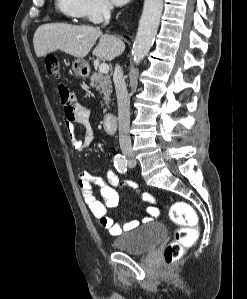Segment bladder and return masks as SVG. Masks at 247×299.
Wrapping results in <instances>:
<instances>
[{"instance_id": "bladder-1", "label": "bladder", "mask_w": 247, "mask_h": 299, "mask_svg": "<svg viewBox=\"0 0 247 299\" xmlns=\"http://www.w3.org/2000/svg\"><path fill=\"white\" fill-rule=\"evenodd\" d=\"M164 224L153 221L122 233L113 240L114 247L132 255L144 254L155 248L166 236Z\"/></svg>"}]
</instances>
